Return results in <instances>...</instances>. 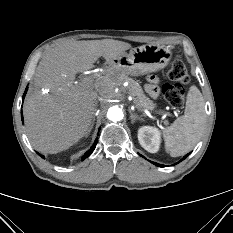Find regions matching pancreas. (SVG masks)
Segmentation results:
<instances>
[{
	"label": "pancreas",
	"mask_w": 233,
	"mask_h": 233,
	"mask_svg": "<svg viewBox=\"0 0 233 233\" xmlns=\"http://www.w3.org/2000/svg\"><path fill=\"white\" fill-rule=\"evenodd\" d=\"M115 71L117 72L116 80L118 82H120V83L127 82L128 83L127 88L129 90L130 95L133 97V102L136 105V107L147 108L150 110H152L155 107L154 102L145 95V93H144L143 89L141 88V86L139 85V83L134 81L132 78H129L128 76H126L119 69H115Z\"/></svg>",
	"instance_id": "cf45deb5"
}]
</instances>
